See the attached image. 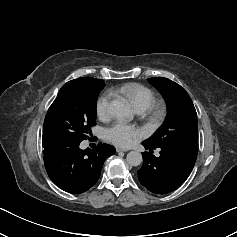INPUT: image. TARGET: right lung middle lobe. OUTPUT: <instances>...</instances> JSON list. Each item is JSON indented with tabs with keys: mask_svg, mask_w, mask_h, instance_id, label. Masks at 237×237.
<instances>
[{
	"mask_svg": "<svg viewBox=\"0 0 237 237\" xmlns=\"http://www.w3.org/2000/svg\"><path fill=\"white\" fill-rule=\"evenodd\" d=\"M104 86L103 80L95 78H78L64 84L46 114L43 134L76 141L88 139L95 125L98 94Z\"/></svg>",
	"mask_w": 237,
	"mask_h": 237,
	"instance_id": "1",
	"label": "right lung middle lobe"
}]
</instances>
